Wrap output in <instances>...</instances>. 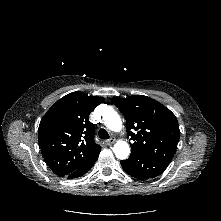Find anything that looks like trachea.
Instances as JSON below:
<instances>
[{
  "mask_svg": "<svg viewBox=\"0 0 221 221\" xmlns=\"http://www.w3.org/2000/svg\"><path fill=\"white\" fill-rule=\"evenodd\" d=\"M98 136L103 140L109 139V134L105 129H100L98 132Z\"/></svg>",
  "mask_w": 221,
  "mask_h": 221,
  "instance_id": "1",
  "label": "trachea"
}]
</instances>
